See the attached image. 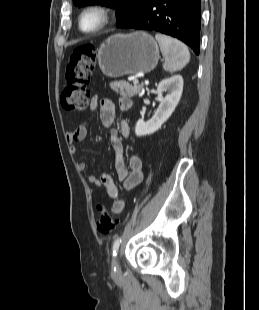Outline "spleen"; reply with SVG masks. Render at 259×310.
Returning <instances> with one entry per match:
<instances>
[{
  "instance_id": "spleen-1",
  "label": "spleen",
  "mask_w": 259,
  "mask_h": 310,
  "mask_svg": "<svg viewBox=\"0 0 259 310\" xmlns=\"http://www.w3.org/2000/svg\"><path fill=\"white\" fill-rule=\"evenodd\" d=\"M162 55L165 58L163 69L168 72H176L183 69L190 61V53L187 46L181 41L163 34H156Z\"/></svg>"
}]
</instances>
